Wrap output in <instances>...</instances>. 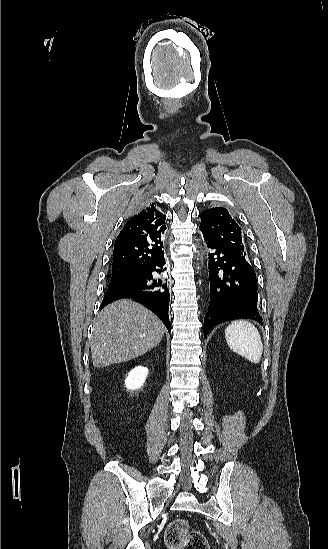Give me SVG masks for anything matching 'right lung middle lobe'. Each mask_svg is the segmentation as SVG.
I'll use <instances>...</instances> for the list:
<instances>
[{"label": "right lung middle lobe", "instance_id": "obj_1", "mask_svg": "<svg viewBox=\"0 0 328 549\" xmlns=\"http://www.w3.org/2000/svg\"><path fill=\"white\" fill-rule=\"evenodd\" d=\"M141 273L142 272H135V273H128V274L112 276V279H111V282H110L108 288H113L118 284H122L126 281L139 278L141 276Z\"/></svg>", "mask_w": 328, "mask_h": 549}]
</instances>
